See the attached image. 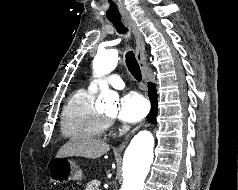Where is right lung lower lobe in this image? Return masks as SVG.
<instances>
[{
	"instance_id": "obj_1",
	"label": "right lung lower lobe",
	"mask_w": 238,
	"mask_h": 190,
	"mask_svg": "<svg viewBox=\"0 0 238 190\" xmlns=\"http://www.w3.org/2000/svg\"><path fill=\"white\" fill-rule=\"evenodd\" d=\"M148 89H149V98L151 101V112H150V120L153 123L156 119L157 115V92L155 85L153 83L148 84Z\"/></svg>"
}]
</instances>
